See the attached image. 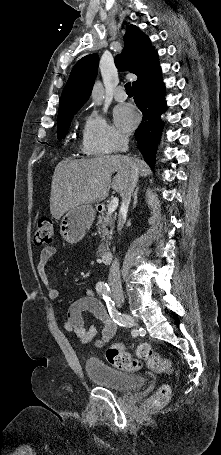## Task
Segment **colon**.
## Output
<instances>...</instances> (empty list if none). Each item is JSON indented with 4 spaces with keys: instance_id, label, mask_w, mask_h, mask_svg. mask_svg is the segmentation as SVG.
Here are the masks:
<instances>
[{
    "instance_id": "colon-1",
    "label": "colon",
    "mask_w": 221,
    "mask_h": 455,
    "mask_svg": "<svg viewBox=\"0 0 221 455\" xmlns=\"http://www.w3.org/2000/svg\"><path fill=\"white\" fill-rule=\"evenodd\" d=\"M54 236L53 221L50 218L41 219L34 231L35 244L38 246L50 245ZM135 350L139 360L133 358L123 344L115 343L107 349L106 359L111 365L127 371L140 369L142 366L140 360L144 361L145 365L155 372L170 373L172 371L170 361L156 353L149 343H139L135 346ZM170 394L169 386H161L154 394L151 404L155 407L164 406L168 402Z\"/></svg>"
}]
</instances>
